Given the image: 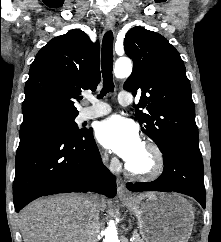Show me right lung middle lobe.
<instances>
[{"mask_svg":"<svg viewBox=\"0 0 221 242\" xmlns=\"http://www.w3.org/2000/svg\"><path fill=\"white\" fill-rule=\"evenodd\" d=\"M78 114L67 116V117H60V118H54L49 120H44L40 122H36L33 124H30L25 127H21V129L31 126H48V127H56L58 129L65 130L72 134H79L86 130H79L77 124L75 123V118Z\"/></svg>","mask_w":221,"mask_h":242,"instance_id":"obj_1","label":"right lung middle lobe"}]
</instances>
